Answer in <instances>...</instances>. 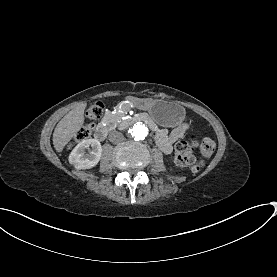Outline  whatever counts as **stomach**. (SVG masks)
I'll list each match as a JSON object with an SVG mask.
<instances>
[{
  "mask_svg": "<svg viewBox=\"0 0 277 277\" xmlns=\"http://www.w3.org/2000/svg\"><path fill=\"white\" fill-rule=\"evenodd\" d=\"M131 101L137 108L147 110L151 117L162 126L176 127L185 118V109L174 102L152 98H131Z\"/></svg>",
  "mask_w": 277,
  "mask_h": 277,
  "instance_id": "1",
  "label": "stomach"
}]
</instances>
